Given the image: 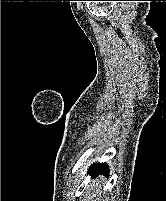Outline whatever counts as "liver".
<instances>
[{"label": "liver", "mask_w": 166, "mask_h": 201, "mask_svg": "<svg viewBox=\"0 0 166 201\" xmlns=\"http://www.w3.org/2000/svg\"><path fill=\"white\" fill-rule=\"evenodd\" d=\"M92 186L95 188V182H93Z\"/></svg>", "instance_id": "obj_1"}]
</instances>
